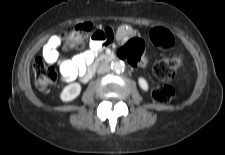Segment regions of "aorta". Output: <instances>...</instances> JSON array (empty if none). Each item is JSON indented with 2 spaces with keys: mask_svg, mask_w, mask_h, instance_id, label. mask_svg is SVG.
I'll return each instance as SVG.
<instances>
[{
  "mask_svg": "<svg viewBox=\"0 0 225 155\" xmlns=\"http://www.w3.org/2000/svg\"><path fill=\"white\" fill-rule=\"evenodd\" d=\"M111 69L115 72H123L125 69V64L123 61H114L111 63Z\"/></svg>",
  "mask_w": 225,
  "mask_h": 155,
  "instance_id": "1",
  "label": "aorta"
}]
</instances>
